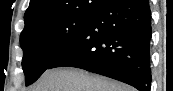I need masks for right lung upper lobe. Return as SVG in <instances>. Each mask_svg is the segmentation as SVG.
<instances>
[{
	"label": "right lung upper lobe",
	"instance_id": "1",
	"mask_svg": "<svg viewBox=\"0 0 173 91\" xmlns=\"http://www.w3.org/2000/svg\"><path fill=\"white\" fill-rule=\"evenodd\" d=\"M103 1L104 0H30L29 7L24 16L25 28L46 19L90 11L95 12Z\"/></svg>",
	"mask_w": 173,
	"mask_h": 91
}]
</instances>
